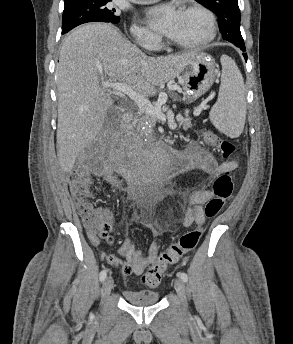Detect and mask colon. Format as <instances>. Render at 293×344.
Returning a JSON list of instances; mask_svg holds the SVG:
<instances>
[{
  "label": "colon",
  "instance_id": "colon-1",
  "mask_svg": "<svg viewBox=\"0 0 293 344\" xmlns=\"http://www.w3.org/2000/svg\"><path fill=\"white\" fill-rule=\"evenodd\" d=\"M205 144L221 154L226 160H231L235 152L234 145L211 131L203 133ZM90 180L87 176H78L72 184V193L76 200V208L83 219L89 233L94 237H106L111 232V224L105 212L92 205L90 200ZM233 179L229 171L222 173L213 184V197L205 205V216L215 217L223 208L224 203L232 195ZM203 234V228L198 227L183 234L178 242L163 251L149 270L142 276V283L149 288H156L166 268L187 253L193 251Z\"/></svg>",
  "mask_w": 293,
  "mask_h": 344
}]
</instances>
